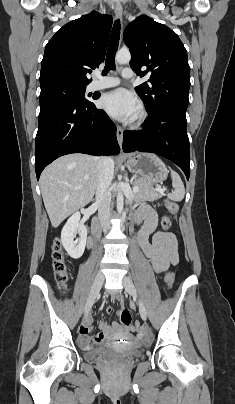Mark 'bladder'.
Segmentation results:
<instances>
[{"label": "bladder", "instance_id": "obj_1", "mask_svg": "<svg viewBox=\"0 0 235 404\" xmlns=\"http://www.w3.org/2000/svg\"><path fill=\"white\" fill-rule=\"evenodd\" d=\"M87 361L90 362H105V361H122L130 358L139 357L138 354L134 353L133 349L122 351L116 346L108 345L104 347H99L93 350H89L85 353Z\"/></svg>", "mask_w": 235, "mask_h": 404}]
</instances>
